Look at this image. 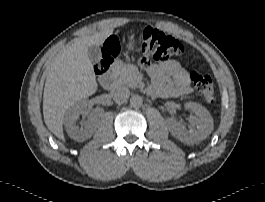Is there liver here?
<instances>
[{
  "label": "liver",
  "mask_w": 265,
  "mask_h": 202,
  "mask_svg": "<svg viewBox=\"0 0 265 202\" xmlns=\"http://www.w3.org/2000/svg\"><path fill=\"white\" fill-rule=\"evenodd\" d=\"M113 30L75 40L51 61L43 94V116L48 129L60 140L64 116L71 106L93 95L98 84L88 57L91 45H102Z\"/></svg>",
  "instance_id": "liver-1"
}]
</instances>
